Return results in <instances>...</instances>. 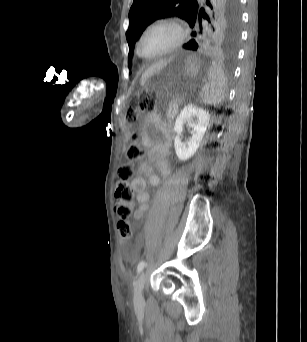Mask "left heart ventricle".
<instances>
[{"instance_id": "b2bd125f", "label": "left heart ventricle", "mask_w": 307, "mask_h": 342, "mask_svg": "<svg viewBox=\"0 0 307 342\" xmlns=\"http://www.w3.org/2000/svg\"><path fill=\"white\" fill-rule=\"evenodd\" d=\"M176 39L174 28L166 23L155 24L144 34L141 52L146 57H153L168 48Z\"/></svg>"}]
</instances>
